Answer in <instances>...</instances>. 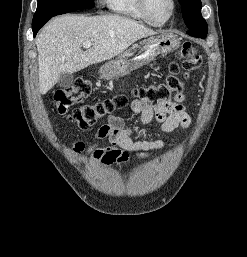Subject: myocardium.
<instances>
[{
  "label": "myocardium",
  "instance_id": "myocardium-1",
  "mask_svg": "<svg viewBox=\"0 0 247 257\" xmlns=\"http://www.w3.org/2000/svg\"><path fill=\"white\" fill-rule=\"evenodd\" d=\"M138 2H139L140 10L143 13L145 19L149 24L154 26L166 25L173 18L177 8L176 0H170L172 7L169 15L163 20H156L150 12L149 0H138Z\"/></svg>",
  "mask_w": 247,
  "mask_h": 257
}]
</instances>
